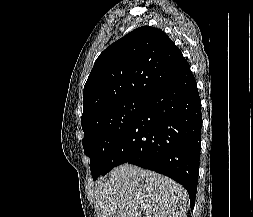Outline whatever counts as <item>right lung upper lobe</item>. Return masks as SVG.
Here are the masks:
<instances>
[{
	"instance_id": "1",
	"label": "right lung upper lobe",
	"mask_w": 253,
	"mask_h": 217,
	"mask_svg": "<svg viewBox=\"0 0 253 217\" xmlns=\"http://www.w3.org/2000/svg\"><path fill=\"white\" fill-rule=\"evenodd\" d=\"M187 64L180 49L161 29L139 27L106 48L84 86L82 123L130 97L149 98Z\"/></svg>"
}]
</instances>
